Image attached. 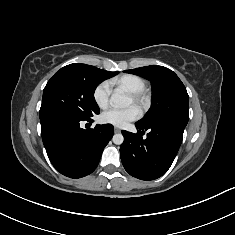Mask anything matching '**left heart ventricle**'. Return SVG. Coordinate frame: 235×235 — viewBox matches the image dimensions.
I'll return each mask as SVG.
<instances>
[{
	"label": "left heart ventricle",
	"instance_id": "obj_1",
	"mask_svg": "<svg viewBox=\"0 0 235 235\" xmlns=\"http://www.w3.org/2000/svg\"><path fill=\"white\" fill-rule=\"evenodd\" d=\"M129 103L131 104V103H133V101H132V98L130 97L129 98Z\"/></svg>",
	"mask_w": 235,
	"mask_h": 235
}]
</instances>
